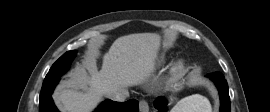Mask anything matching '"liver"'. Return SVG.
<instances>
[{"mask_svg":"<svg viewBox=\"0 0 270 112\" xmlns=\"http://www.w3.org/2000/svg\"><path fill=\"white\" fill-rule=\"evenodd\" d=\"M160 36L136 33L117 38L98 70L92 51L71 79L58 86L54 98L63 112H91L109 95L146 82L155 70Z\"/></svg>","mask_w":270,"mask_h":112,"instance_id":"obj_1","label":"liver"}]
</instances>
